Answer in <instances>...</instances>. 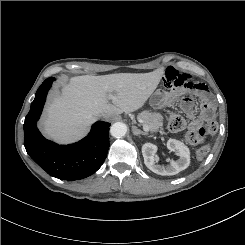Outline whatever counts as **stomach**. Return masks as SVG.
<instances>
[{"label":"stomach","mask_w":245,"mask_h":245,"mask_svg":"<svg viewBox=\"0 0 245 245\" xmlns=\"http://www.w3.org/2000/svg\"><path fill=\"white\" fill-rule=\"evenodd\" d=\"M171 101V93L166 91L164 87H159L151 95L149 104L155 109H161Z\"/></svg>","instance_id":"stomach-1"}]
</instances>
